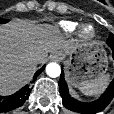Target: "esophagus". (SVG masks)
Segmentation results:
<instances>
[{
    "instance_id": "1",
    "label": "esophagus",
    "mask_w": 114,
    "mask_h": 114,
    "mask_svg": "<svg viewBox=\"0 0 114 114\" xmlns=\"http://www.w3.org/2000/svg\"><path fill=\"white\" fill-rule=\"evenodd\" d=\"M51 60L53 61H60L61 56L58 52H54L51 56H50Z\"/></svg>"
}]
</instances>
